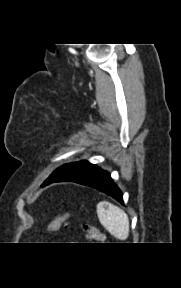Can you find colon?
Returning <instances> with one entry per match:
<instances>
[{
    "label": "colon",
    "mask_w": 181,
    "mask_h": 288,
    "mask_svg": "<svg viewBox=\"0 0 181 288\" xmlns=\"http://www.w3.org/2000/svg\"><path fill=\"white\" fill-rule=\"evenodd\" d=\"M70 213H63L58 215L54 220L47 226V231H55L58 230L61 227L68 228L70 226ZM84 230L86 231L87 238L92 241H103L104 235L101 233V231L96 228L95 226H92L90 224L84 225Z\"/></svg>",
    "instance_id": "1"
}]
</instances>
